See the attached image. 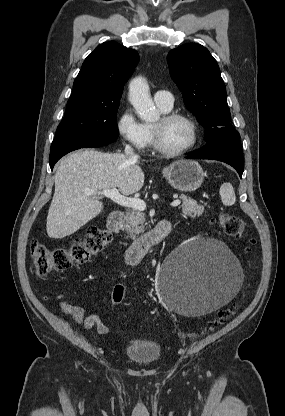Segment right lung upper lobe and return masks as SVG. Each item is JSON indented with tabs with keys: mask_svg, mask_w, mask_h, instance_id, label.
<instances>
[{
	"mask_svg": "<svg viewBox=\"0 0 285 416\" xmlns=\"http://www.w3.org/2000/svg\"><path fill=\"white\" fill-rule=\"evenodd\" d=\"M138 61L139 55L133 49L115 41L100 44L83 62L70 98L120 100L124 83L132 75Z\"/></svg>",
	"mask_w": 285,
	"mask_h": 416,
	"instance_id": "obj_1",
	"label": "right lung upper lobe"
}]
</instances>
